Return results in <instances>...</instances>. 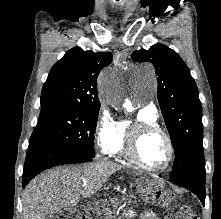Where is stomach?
<instances>
[{
    "mask_svg": "<svg viewBox=\"0 0 221 219\" xmlns=\"http://www.w3.org/2000/svg\"><path fill=\"white\" fill-rule=\"evenodd\" d=\"M140 181L147 184L142 191L145 196L144 204H165V199H169L171 190H165L160 178H141Z\"/></svg>",
    "mask_w": 221,
    "mask_h": 219,
    "instance_id": "obj_1",
    "label": "stomach"
}]
</instances>
